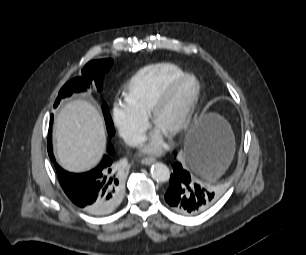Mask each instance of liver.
Returning a JSON list of instances; mask_svg holds the SVG:
<instances>
[{
	"label": "liver",
	"mask_w": 306,
	"mask_h": 255,
	"mask_svg": "<svg viewBox=\"0 0 306 255\" xmlns=\"http://www.w3.org/2000/svg\"><path fill=\"white\" fill-rule=\"evenodd\" d=\"M55 153L67 171L80 173L95 167L106 148L101 115L85 100L67 103L57 116L54 130Z\"/></svg>",
	"instance_id": "liver-1"
}]
</instances>
